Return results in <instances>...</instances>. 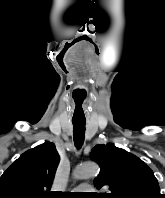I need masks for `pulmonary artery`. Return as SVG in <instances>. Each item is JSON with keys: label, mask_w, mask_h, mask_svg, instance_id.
Here are the masks:
<instances>
[{"label": "pulmonary artery", "mask_w": 165, "mask_h": 198, "mask_svg": "<svg viewBox=\"0 0 165 198\" xmlns=\"http://www.w3.org/2000/svg\"><path fill=\"white\" fill-rule=\"evenodd\" d=\"M76 190L77 191H88V190H90V186H88V185H80V186L76 187Z\"/></svg>", "instance_id": "1"}]
</instances>
